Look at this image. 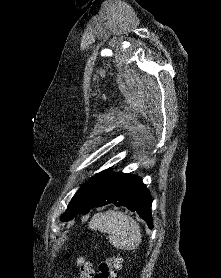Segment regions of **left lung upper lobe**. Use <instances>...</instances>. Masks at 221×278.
Returning <instances> with one entry per match:
<instances>
[{
    "instance_id": "5c2ea615",
    "label": "left lung upper lobe",
    "mask_w": 221,
    "mask_h": 278,
    "mask_svg": "<svg viewBox=\"0 0 221 278\" xmlns=\"http://www.w3.org/2000/svg\"><path fill=\"white\" fill-rule=\"evenodd\" d=\"M93 178V177H92ZM90 178L86 183H84L82 185V187L76 192V194L74 195V197L72 198L71 202L69 203L66 212L62 215L61 217V221H63L64 219H66L72 212L74 205L76 204V202L78 201L79 197L81 196V194L83 193V191L85 190V188L87 187V185L90 183L91 179Z\"/></svg>"
}]
</instances>
